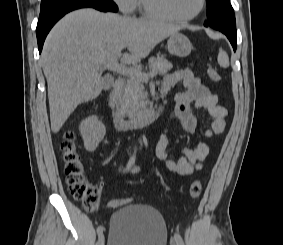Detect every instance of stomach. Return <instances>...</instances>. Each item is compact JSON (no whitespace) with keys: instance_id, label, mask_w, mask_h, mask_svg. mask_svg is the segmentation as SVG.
I'll list each match as a JSON object with an SVG mask.
<instances>
[{"instance_id":"0dacf381","label":"stomach","mask_w":283,"mask_h":245,"mask_svg":"<svg viewBox=\"0 0 283 245\" xmlns=\"http://www.w3.org/2000/svg\"><path fill=\"white\" fill-rule=\"evenodd\" d=\"M167 47L169 53L177 57H186L192 50L190 40L178 31L170 35L167 41Z\"/></svg>"}]
</instances>
